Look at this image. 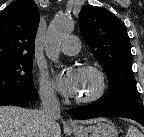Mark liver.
I'll return each instance as SVG.
<instances>
[{"label": "liver", "instance_id": "1", "mask_svg": "<svg viewBox=\"0 0 144 137\" xmlns=\"http://www.w3.org/2000/svg\"><path fill=\"white\" fill-rule=\"evenodd\" d=\"M97 120H86L93 123ZM0 137H61L60 126L48 128L42 110L16 106L0 107Z\"/></svg>", "mask_w": 144, "mask_h": 137}]
</instances>
